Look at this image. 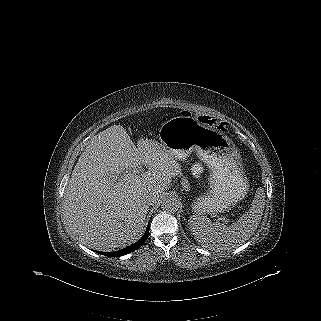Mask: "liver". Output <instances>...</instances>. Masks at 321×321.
I'll return each mask as SVG.
<instances>
[{"instance_id":"liver-1","label":"liver","mask_w":321,"mask_h":321,"mask_svg":"<svg viewBox=\"0 0 321 321\" xmlns=\"http://www.w3.org/2000/svg\"><path fill=\"white\" fill-rule=\"evenodd\" d=\"M141 164L144 173L135 170ZM181 167L154 141L137 147L121 125L95 135L80 155L65 190L64 216L81 242L100 251L125 248L143 234L148 206L158 201Z\"/></svg>"}]
</instances>
